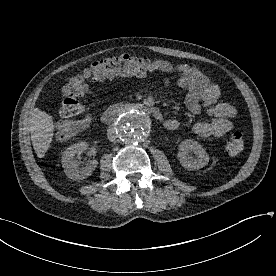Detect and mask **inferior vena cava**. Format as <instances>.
Returning <instances> with one entry per match:
<instances>
[{"instance_id":"inferior-vena-cava-1","label":"inferior vena cava","mask_w":276,"mask_h":276,"mask_svg":"<svg viewBox=\"0 0 276 276\" xmlns=\"http://www.w3.org/2000/svg\"><path fill=\"white\" fill-rule=\"evenodd\" d=\"M107 136H108V139H109L111 142L117 141V139H118V133H117V131H116V127H115V126H112V127H110V128L107 130Z\"/></svg>"}]
</instances>
